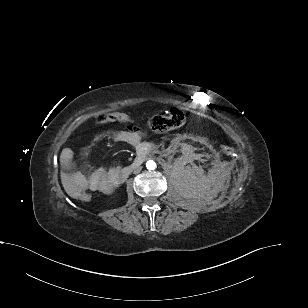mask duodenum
Instances as JSON below:
<instances>
[{
    "instance_id": "410a0bca",
    "label": "duodenum",
    "mask_w": 308,
    "mask_h": 308,
    "mask_svg": "<svg viewBox=\"0 0 308 308\" xmlns=\"http://www.w3.org/2000/svg\"><path fill=\"white\" fill-rule=\"evenodd\" d=\"M152 148H153L152 144L148 142L142 145H139L137 149L138 150L137 157L129 166L125 167L121 171L118 177V182L126 180L134 169L139 168L143 164L148 152L152 151Z\"/></svg>"
}]
</instances>
